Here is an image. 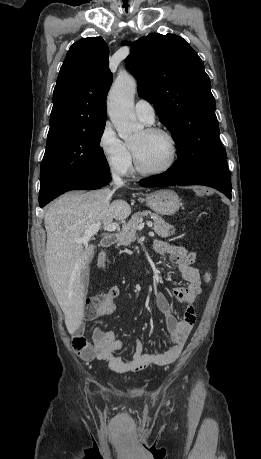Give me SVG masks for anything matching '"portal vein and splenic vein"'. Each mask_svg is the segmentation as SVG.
Wrapping results in <instances>:
<instances>
[{
    "instance_id": "portal-vein-and-splenic-vein-1",
    "label": "portal vein and splenic vein",
    "mask_w": 261,
    "mask_h": 459,
    "mask_svg": "<svg viewBox=\"0 0 261 459\" xmlns=\"http://www.w3.org/2000/svg\"><path fill=\"white\" fill-rule=\"evenodd\" d=\"M148 227H152V223L148 222L147 223ZM144 227V223H141L139 226H138V229L141 230L142 228ZM119 228V225L117 223H110L106 226L103 227L104 230L106 231H115L116 229ZM101 229V224L100 223H96V224H92L91 226H89L86 231L84 232V235L82 238H79V239H76V242L79 243V244H87L90 240V238L95 235L99 230Z\"/></svg>"
}]
</instances>
